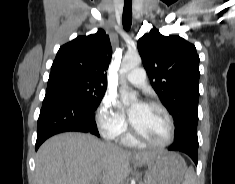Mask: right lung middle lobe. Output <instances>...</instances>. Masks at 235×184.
<instances>
[{
    "label": "right lung middle lobe",
    "instance_id": "dd1d6c3e",
    "mask_svg": "<svg viewBox=\"0 0 235 184\" xmlns=\"http://www.w3.org/2000/svg\"><path fill=\"white\" fill-rule=\"evenodd\" d=\"M106 87L107 86L88 84L76 80H66L59 89L76 98L87 108L96 110L105 94Z\"/></svg>",
    "mask_w": 235,
    "mask_h": 184
}]
</instances>
